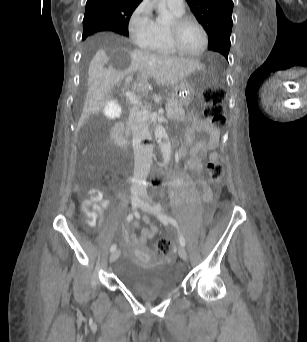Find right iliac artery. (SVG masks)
<instances>
[{
    "mask_svg": "<svg viewBox=\"0 0 307 342\" xmlns=\"http://www.w3.org/2000/svg\"><path fill=\"white\" fill-rule=\"evenodd\" d=\"M134 215H136V213H134V214H133V213L129 214V215L127 216V221H128V222H131V221L133 220ZM116 248H117L116 244H113V245L111 246V248H110V251H111V252H114V251L116 250Z\"/></svg>",
    "mask_w": 307,
    "mask_h": 342,
    "instance_id": "obj_1",
    "label": "right iliac artery"
}]
</instances>
